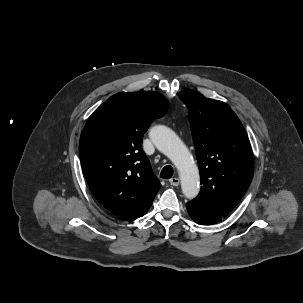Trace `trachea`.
I'll use <instances>...</instances> for the list:
<instances>
[{"label":"trachea","instance_id":"trachea-1","mask_svg":"<svg viewBox=\"0 0 303 303\" xmlns=\"http://www.w3.org/2000/svg\"><path fill=\"white\" fill-rule=\"evenodd\" d=\"M173 176V168L170 165H166L161 173H160V177L164 178V179H170Z\"/></svg>","mask_w":303,"mask_h":303}]
</instances>
